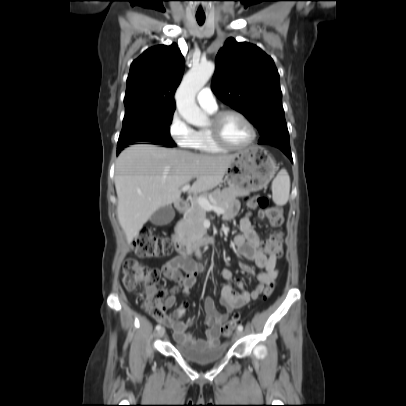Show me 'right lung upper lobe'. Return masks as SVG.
<instances>
[{"label":"right lung upper lobe","instance_id":"cb5924a9","mask_svg":"<svg viewBox=\"0 0 406 406\" xmlns=\"http://www.w3.org/2000/svg\"><path fill=\"white\" fill-rule=\"evenodd\" d=\"M183 70L184 58L176 44L147 49L131 64L124 98L125 110H175L174 93Z\"/></svg>","mask_w":406,"mask_h":406}]
</instances>
